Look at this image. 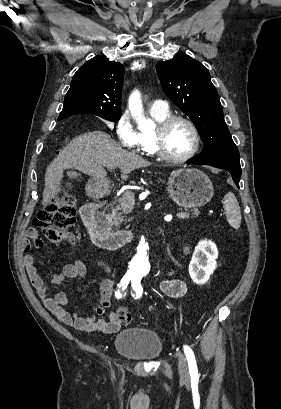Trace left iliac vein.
I'll use <instances>...</instances> for the list:
<instances>
[{"instance_id": "left-iliac-vein-1", "label": "left iliac vein", "mask_w": 281, "mask_h": 409, "mask_svg": "<svg viewBox=\"0 0 281 409\" xmlns=\"http://www.w3.org/2000/svg\"><path fill=\"white\" fill-rule=\"evenodd\" d=\"M177 357H178V369H179L180 375L185 378L189 377L188 364H187V360L185 356L181 352H178Z\"/></svg>"}]
</instances>
